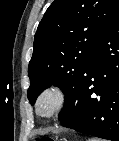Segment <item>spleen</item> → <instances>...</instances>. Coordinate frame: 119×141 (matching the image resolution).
Segmentation results:
<instances>
[{"label":"spleen","mask_w":119,"mask_h":141,"mask_svg":"<svg viewBox=\"0 0 119 141\" xmlns=\"http://www.w3.org/2000/svg\"><path fill=\"white\" fill-rule=\"evenodd\" d=\"M89 141H97V140H96V139L91 138V139H89Z\"/></svg>","instance_id":"3e777b00"}]
</instances>
